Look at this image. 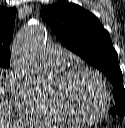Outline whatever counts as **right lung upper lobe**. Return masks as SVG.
<instances>
[{"label":"right lung upper lobe","instance_id":"cb5924a9","mask_svg":"<svg viewBox=\"0 0 125 128\" xmlns=\"http://www.w3.org/2000/svg\"><path fill=\"white\" fill-rule=\"evenodd\" d=\"M16 9L0 6V60H10V41L14 31Z\"/></svg>","mask_w":125,"mask_h":128}]
</instances>
